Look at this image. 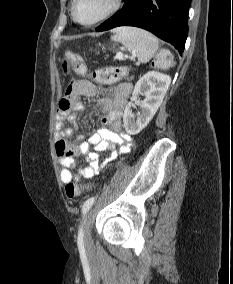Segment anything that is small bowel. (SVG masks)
I'll return each instance as SVG.
<instances>
[{"label":"small bowel","instance_id":"c3829d8e","mask_svg":"<svg viewBox=\"0 0 233 284\" xmlns=\"http://www.w3.org/2000/svg\"><path fill=\"white\" fill-rule=\"evenodd\" d=\"M131 85L122 83L112 89L111 96L98 97L97 106L103 113L101 126L85 140V136L77 137L74 143L67 141L74 133L72 128H63L65 120L76 124L78 112L83 110L79 101L80 96H96V86L86 79L73 80L67 86L64 96L59 102L56 120L58 131L56 141V153L62 169L61 181L65 184L78 182L82 178L89 179L97 175L107 163L113 161L118 153H126L131 146V137L122 131L121 118L126 107ZM119 146V152L116 146ZM93 151L90 152L89 148ZM107 151L108 156L104 161L99 160V152ZM84 154L87 156V165L81 166L76 173L72 172L75 156Z\"/></svg>","mask_w":233,"mask_h":284}]
</instances>
